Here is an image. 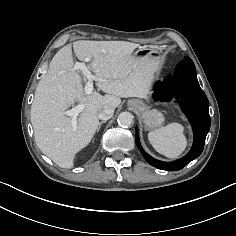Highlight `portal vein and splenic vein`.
<instances>
[{"label": "portal vein and splenic vein", "instance_id": "portal-vein-and-splenic-vein-1", "mask_svg": "<svg viewBox=\"0 0 236 236\" xmlns=\"http://www.w3.org/2000/svg\"><path fill=\"white\" fill-rule=\"evenodd\" d=\"M90 59L86 58L82 62H76L74 65L75 70H81L82 73L87 78V82L85 84L84 90L86 94H91L93 92V81H102V79H98L96 76H94L91 71L86 66L85 62H88ZM84 109V106L79 104L76 107L67 110L64 112V115L72 117V123L73 125H76L77 123V116L80 112H82Z\"/></svg>", "mask_w": 236, "mask_h": 236}]
</instances>
